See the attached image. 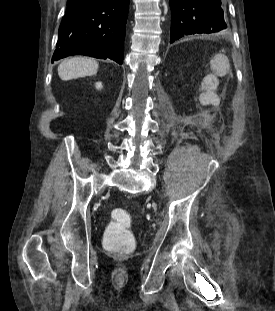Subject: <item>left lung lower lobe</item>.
<instances>
[{
    "instance_id": "obj_1",
    "label": "left lung lower lobe",
    "mask_w": 275,
    "mask_h": 311,
    "mask_svg": "<svg viewBox=\"0 0 275 311\" xmlns=\"http://www.w3.org/2000/svg\"><path fill=\"white\" fill-rule=\"evenodd\" d=\"M170 43L192 34H212L228 28L221 0H170Z\"/></svg>"
}]
</instances>
